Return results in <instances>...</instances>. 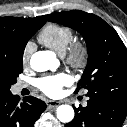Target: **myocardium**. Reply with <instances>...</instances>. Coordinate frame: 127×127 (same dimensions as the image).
Listing matches in <instances>:
<instances>
[{
  "mask_svg": "<svg viewBox=\"0 0 127 127\" xmlns=\"http://www.w3.org/2000/svg\"><path fill=\"white\" fill-rule=\"evenodd\" d=\"M90 49L85 41H72L65 54L64 59L73 69L81 71L88 65Z\"/></svg>",
  "mask_w": 127,
  "mask_h": 127,
  "instance_id": "1",
  "label": "myocardium"
}]
</instances>
